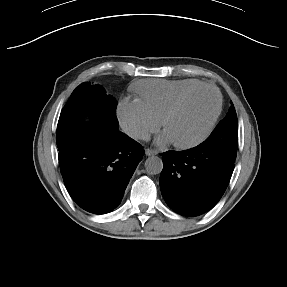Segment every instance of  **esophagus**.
Listing matches in <instances>:
<instances>
[{
    "label": "esophagus",
    "instance_id": "1",
    "mask_svg": "<svg viewBox=\"0 0 287 287\" xmlns=\"http://www.w3.org/2000/svg\"><path fill=\"white\" fill-rule=\"evenodd\" d=\"M158 153H159V152H158L157 150L150 149V148H148V149L145 150V154H146L147 156L157 155Z\"/></svg>",
    "mask_w": 287,
    "mask_h": 287
}]
</instances>
